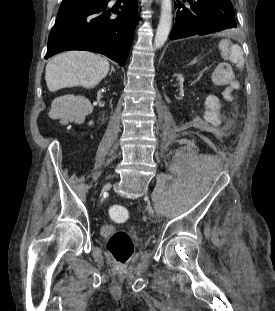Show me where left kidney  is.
Listing matches in <instances>:
<instances>
[{"label": "left kidney", "instance_id": "left-kidney-1", "mask_svg": "<svg viewBox=\"0 0 275 311\" xmlns=\"http://www.w3.org/2000/svg\"><path fill=\"white\" fill-rule=\"evenodd\" d=\"M177 80L179 82H172L171 87L172 89H180L179 94L176 96L177 100H182L184 97V90H183V82L184 78L181 74L177 75Z\"/></svg>", "mask_w": 275, "mask_h": 311}]
</instances>
